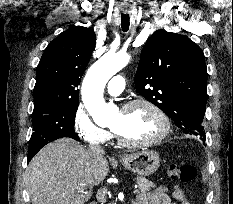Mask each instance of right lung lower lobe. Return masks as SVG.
I'll return each instance as SVG.
<instances>
[{
  "instance_id": "right-lung-lower-lobe-1",
  "label": "right lung lower lobe",
  "mask_w": 233,
  "mask_h": 204,
  "mask_svg": "<svg viewBox=\"0 0 233 204\" xmlns=\"http://www.w3.org/2000/svg\"><path fill=\"white\" fill-rule=\"evenodd\" d=\"M41 148L38 149H28V162L33 158V156L40 150Z\"/></svg>"
}]
</instances>
